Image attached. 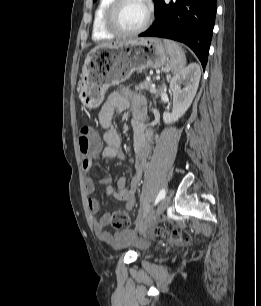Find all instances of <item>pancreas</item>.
I'll return each instance as SVG.
<instances>
[{
  "instance_id": "obj_1",
  "label": "pancreas",
  "mask_w": 261,
  "mask_h": 306,
  "mask_svg": "<svg viewBox=\"0 0 261 306\" xmlns=\"http://www.w3.org/2000/svg\"><path fill=\"white\" fill-rule=\"evenodd\" d=\"M143 90H148L152 94L156 95L159 93V89L156 87H152V82L147 80L135 86V91H143Z\"/></svg>"
}]
</instances>
